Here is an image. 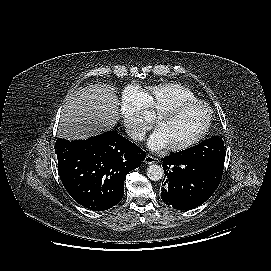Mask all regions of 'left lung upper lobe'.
Returning a JSON list of instances; mask_svg holds the SVG:
<instances>
[{"mask_svg": "<svg viewBox=\"0 0 271 271\" xmlns=\"http://www.w3.org/2000/svg\"><path fill=\"white\" fill-rule=\"evenodd\" d=\"M225 149L226 147L224 146L223 140L214 136L176 154L182 158L194 159L222 174L224 169Z\"/></svg>", "mask_w": 271, "mask_h": 271, "instance_id": "1", "label": "left lung upper lobe"}]
</instances>
